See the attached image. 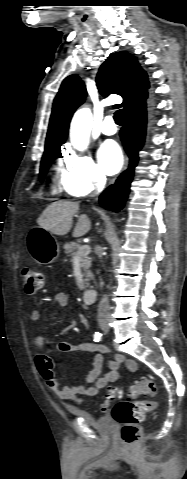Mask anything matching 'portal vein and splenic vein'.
I'll return each mask as SVG.
<instances>
[{"mask_svg":"<svg viewBox=\"0 0 187 479\" xmlns=\"http://www.w3.org/2000/svg\"><path fill=\"white\" fill-rule=\"evenodd\" d=\"M91 251V248L89 245H83L79 247L77 255L75 259H79L80 257L87 256Z\"/></svg>","mask_w":187,"mask_h":479,"instance_id":"1","label":"portal vein and splenic vein"}]
</instances>
